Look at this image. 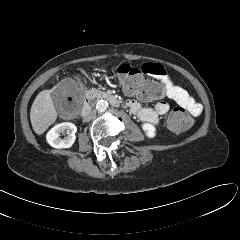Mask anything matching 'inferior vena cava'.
I'll return each instance as SVG.
<instances>
[{
	"label": "inferior vena cava",
	"instance_id": "inferior-vena-cava-1",
	"mask_svg": "<svg viewBox=\"0 0 240 240\" xmlns=\"http://www.w3.org/2000/svg\"><path fill=\"white\" fill-rule=\"evenodd\" d=\"M95 115H96V112L94 110L88 109L84 112V120L90 121L94 118Z\"/></svg>",
	"mask_w": 240,
	"mask_h": 240
}]
</instances>
